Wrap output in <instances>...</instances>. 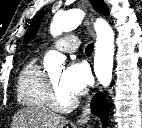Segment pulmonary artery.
<instances>
[{
    "label": "pulmonary artery",
    "mask_w": 142,
    "mask_h": 128,
    "mask_svg": "<svg viewBox=\"0 0 142 128\" xmlns=\"http://www.w3.org/2000/svg\"><path fill=\"white\" fill-rule=\"evenodd\" d=\"M79 39L75 35H66L55 42L53 47L59 51L72 53L79 47Z\"/></svg>",
    "instance_id": "1"
}]
</instances>
